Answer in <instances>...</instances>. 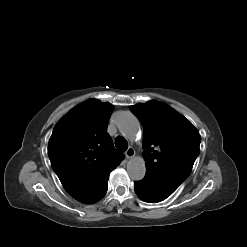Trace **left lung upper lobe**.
Listing matches in <instances>:
<instances>
[{
    "instance_id": "left-lung-upper-lobe-1",
    "label": "left lung upper lobe",
    "mask_w": 247,
    "mask_h": 247,
    "mask_svg": "<svg viewBox=\"0 0 247 247\" xmlns=\"http://www.w3.org/2000/svg\"><path fill=\"white\" fill-rule=\"evenodd\" d=\"M130 110L143 126L145 177L172 194L189 176L199 155L201 137L184 116L157 101Z\"/></svg>"
}]
</instances>
